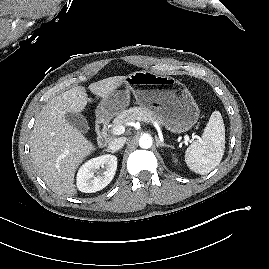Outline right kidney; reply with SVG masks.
I'll return each instance as SVG.
<instances>
[{"instance_id":"ca27d5eb","label":"right kidney","mask_w":269,"mask_h":269,"mask_svg":"<svg viewBox=\"0 0 269 269\" xmlns=\"http://www.w3.org/2000/svg\"><path fill=\"white\" fill-rule=\"evenodd\" d=\"M105 168L102 175L94 176V173ZM117 169V157L102 155L90 159L84 163L77 173V187L81 192L94 193L105 188L113 179Z\"/></svg>"}]
</instances>
